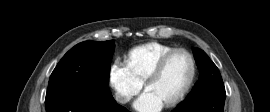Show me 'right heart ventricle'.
<instances>
[{
  "mask_svg": "<svg viewBox=\"0 0 270 112\" xmlns=\"http://www.w3.org/2000/svg\"><path fill=\"white\" fill-rule=\"evenodd\" d=\"M172 49L173 46L159 42L145 43L130 49L124 56V63L134 78L143 84L157 61Z\"/></svg>",
  "mask_w": 270,
  "mask_h": 112,
  "instance_id": "e07e8e85",
  "label": "right heart ventricle"
}]
</instances>
